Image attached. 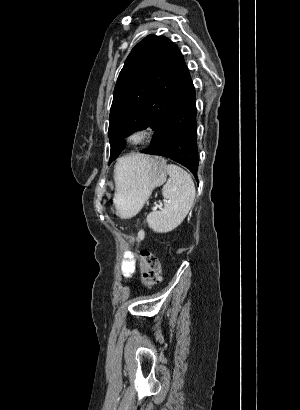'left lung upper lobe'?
Segmentation results:
<instances>
[{
    "label": "left lung upper lobe",
    "mask_w": 300,
    "mask_h": 410,
    "mask_svg": "<svg viewBox=\"0 0 300 410\" xmlns=\"http://www.w3.org/2000/svg\"><path fill=\"white\" fill-rule=\"evenodd\" d=\"M190 78L179 48L168 38L148 35L132 49L113 93L109 164L124 149L127 136L157 128L185 92Z\"/></svg>",
    "instance_id": "left-lung-upper-lobe-1"
}]
</instances>
